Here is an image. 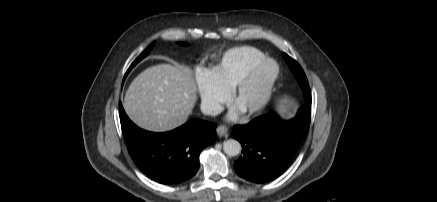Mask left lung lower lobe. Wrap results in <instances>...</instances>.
I'll use <instances>...</instances> for the list:
<instances>
[{
    "instance_id": "left-lung-lower-lobe-1",
    "label": "left lung lower lobe",
    "mask_w": 437,
    "mask_h": 202,
    "mask_svg": "<svg viewBox=\"0 0 437 202\" xmlns=\"http://www.w3.org/2000/svg\"><path fill=\"white\" fill-rule=\"evenodd\" d=\"M310 117V106L304 105L288 121L270 112L246 125L234 126L232 136L242 145V155L234 164L237 174L255 183L279 177L307 134Z\"/></svg>"
}]
</instances>
